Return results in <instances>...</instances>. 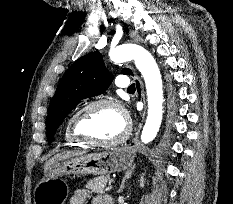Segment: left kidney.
I'll list each match as a JSON object with an SVG mask.
<instances>
[{
	"instance_id": "left-kidney-1",
	"label": "left kidney",
	"mask_w": 233,
	"mask_h": 204,
	"mask_svg": "<svg viewBox=\"0 0 233 204\" xmlns=\"http://www.w3.org/2000/svg\"><path fill=\"white\" fill-rule=\"evenodd\" d=\"M140 186L144 187V179H143V177H141V179H140Z\"/></svg>"
}]
</instances>
